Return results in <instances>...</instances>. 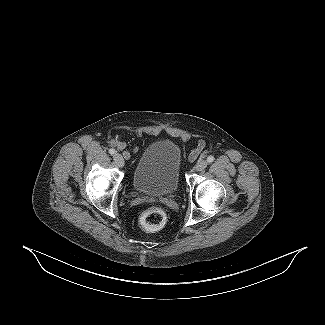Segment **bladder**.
<instances>
[{
    "mask_svg": "<svg viewBox=\"0 0 325 325\" xmlns=\"http://www.w3.org/2000/svg\"><path fill=\"white\" fill-rule=\"evenodd\" d=\"M181 160V150L174 142L157 140L150 143L134 169V188L152 196L174 193L179 184Z\"/></svg>",
    "mask_w": 325,
    "mask_h": 325,
    "instance_id": "31cf9c89",
    "label": "bladder"
}]
</instances>
